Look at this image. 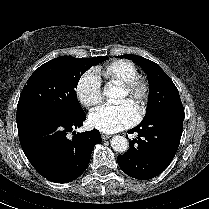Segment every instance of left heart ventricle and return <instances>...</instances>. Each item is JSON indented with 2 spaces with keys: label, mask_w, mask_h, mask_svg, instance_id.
Wrapping results in <instances>:
<instances>
[{
  "label": "left heart ventricle",
  "mask_w": 209,
  "mask_h": 209,
  "mask_svg": "<svg viewBox=\"0 0 209 209\" xmlns=\"http://www.w3.org/2000/svg\"><path fill=\"white\" fill-rule=\"evenodd\" d=\"M142 90L138 89L133 95H128L123 89L120 92V96L118 98L119 103L128 102L131 104L136 110L138 109L141 102Z\"/></svg>",
  "instance_id": "b2bd125f"
}]
</instances>
